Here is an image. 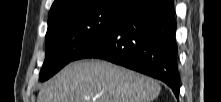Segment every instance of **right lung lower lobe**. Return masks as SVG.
<instances>
[{
  "instance_id": "right-lung-lower-lobe-1",
  "label": "right lung lower lobe",
  "mask_w": 221,
  "mask_h": 102,
  "mask_svg": "<svg viewBox=\"0 0 221 102\" xmlns=\"http://www.w3.org/2000/svg\"><path fill=\"white\" fill-rule=\"evenodd\" d=\"M176 15L171 0H143L77 58H99L166 83L179 97Z\"/></svg>"
}]
</instances>
